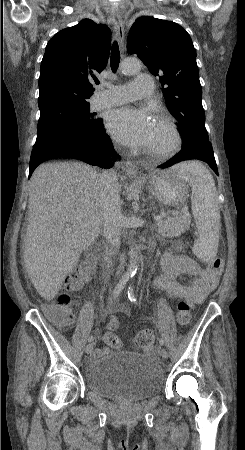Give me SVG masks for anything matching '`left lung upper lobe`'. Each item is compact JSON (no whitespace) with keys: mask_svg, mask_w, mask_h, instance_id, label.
Masks as SVG:
<instances>
[{"mask_svg":"<svg viewBox=\"0 0 245 450\" xmlns=\"http://www.w3.org/2000/svg\"><path fill=\"white\" fill-rule=\"evenodd\" d=\"M127 49L159 77L167 108L179 122L182 151L210 147L196 51L186 30L172 21L143 16L129 31Z\"/></svg>","mask_w":245,"mask_h":450,"instance_id":"obj_1","label":"left lung upper lobe"}]
</instances>
